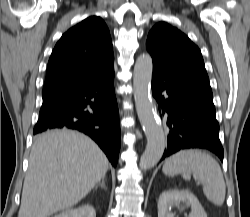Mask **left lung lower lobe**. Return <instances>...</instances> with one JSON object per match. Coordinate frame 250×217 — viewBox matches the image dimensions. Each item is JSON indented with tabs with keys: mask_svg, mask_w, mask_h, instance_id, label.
Listing matches in <instances>:
<instances>
[{
	"mask_svg": "<svg viewBox=\"0 0 250 217\" xmlns=\"http://www.w3.org/2000/svg\"><path fill=\"white\" fill-rule=\"evenodd\" d=\"M151 88L169 133L161 160L182 149L203 148L223 161L208 75L153 63Z\"/></svg>",
	"mask_w": 250,
	"mask_h": 217,
	"instance_id": "1",
	"label": "left lung lower lobe"
}]
</instances>
